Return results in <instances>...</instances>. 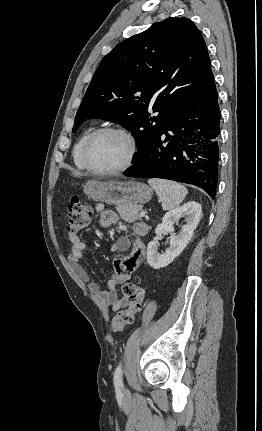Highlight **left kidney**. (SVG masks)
I'll return each instance as SVG.
<instances>
[{
  "mask_svg": "<svg viewBox=\"0 0 262 431\" xmlns=\"http://www.w3.org/2000/svg\"><path fill=\"white\" fill-rule=\"evenodd\" d=\"M202 214V207L199 203L189 202L179 208L167 212L162 218V223L156 229V235L170 233V244L165 253L158 252V243L151 241L147 247V262L153 269H160L169 265L178 257L191 240ZM181 218H185L186 224L181 227V231L175 235L174 223Z\"/></svg>",
  "mask_w": 262,
  "mask_h": 431,
  "instance_id": "left-kidney-1",
  "label": "left kidney"
}]
</instances>
